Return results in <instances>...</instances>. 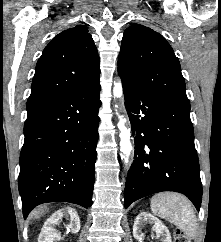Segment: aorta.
Segmentation results:
<instances>
[{
  "label": "aorta",
  "mask_w": 221,
  "mask_h": 242,
  "mask_svg": "<svg viewBox=\"0 0 221 242\" xmlns=\"http://www.w3.org/2000/svg\"><path fill=\"white\" fill-rule=\"evenodd\" d=\"M113 95L115 98H122L123 89L120 79L114 83ZM126 119L123 116H119L118 128L120 130V151L121 158L125 163L129 162L130 153L133 150L131 141H130V130L125 126Z\"/></svg>",
  "instance_id": "obj_1"
}]
</instances>
